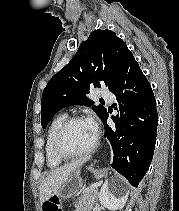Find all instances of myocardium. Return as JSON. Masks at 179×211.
<instances>
[{
	"instance_id": "f54148a6",
	"label": "myocardium",
	"mask_w": 179,
	"mask_h": 211,
	"mask_svg": "<svg viewBox=\"0 0 179 211\" xmlns=\"http://www.w3.org/2000/svg\"><path fill=\"white\" fill-rule=\"evenodd\" d=\"M80 121H87V118L81 115H76L68 117L59 127L54 139V152L62 160H74L89 156L92 154L99 145V136L96 135L95 141L90 148L80 153H70L67 152L64 148L65 136L70 129V127Z\"/></svg>"
}]
</instances>
